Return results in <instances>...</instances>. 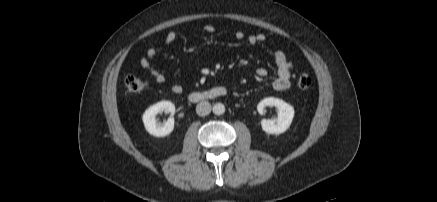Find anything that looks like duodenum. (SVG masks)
<instances>
[{
    "mask_svg": "<svg viewBox=\"0 0 437 202\" xmlns=\"http://www.w3.org/2000/svg\"><path fill=\"white\" fill-rule=\"evenodd\" d=\"M226 94L227 90L225 87L217 86L206 90L193 91L189 94V99L193 102H199L222 97Z\"/></svg>",
    "mask_w": 437,
    "mask_h": 202,
    "instance_id": "obj_1",
    "label": "duodenum"
}]
</instances>
